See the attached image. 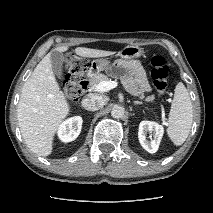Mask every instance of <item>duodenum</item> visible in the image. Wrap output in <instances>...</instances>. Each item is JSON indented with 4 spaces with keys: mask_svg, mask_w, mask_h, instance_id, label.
<instances>
[{
    "mask_svg": "<svg viewBox=\"0 0 213 213\" xmlns=\"http://www.w3.org/2000/svg\"><path fill=\"white\" fill-rule=\"evenodd\" d=\"M88 83H89L88 78H86V79H85V82H84V90L87 89Z\"/></svg>",
    "mask_w": 213,
    "mask_h": 213,
    "instance_id": "410a0bca",
    "label": "duodenum"
}]
</instances>
